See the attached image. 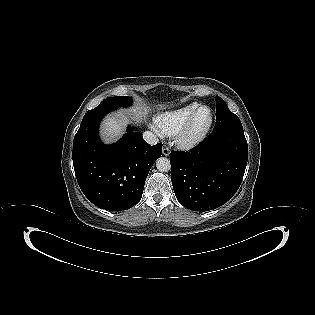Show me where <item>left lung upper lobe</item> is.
Listing matches in <instances>:
<instances>
[{"label":"left lung upper lobe","mask_w":315,"mask_h":315,"mask_svg":"<svg viewBox=\"0 0 315 315\" xmlns=\"http://www.w3.org/2000/svg\"><path fill=\"white\" fill-rule=\"evenodd\" d=\"M224 129L243 130V127L238 116L229 110L225 101L216 96V123L213 132Z\"/></svg>","instance_id":"5c2ea615"}]
</instances>
